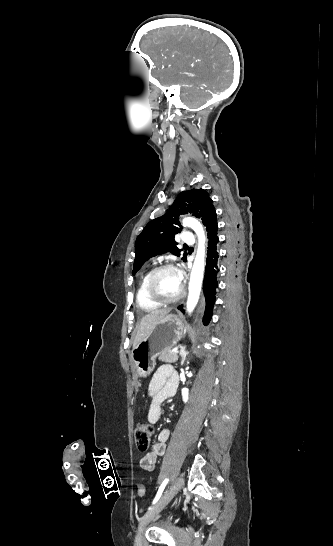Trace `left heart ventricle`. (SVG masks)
I'll return each mask as SVG.
<instances>
[{"mask_svg": "<svg viewBox=\"0 0 333 546\" xmlns=\"http://www.w3.org/2000/svg\"><path fill=\"white\" fill-rule=\"evenodd\" d=\"M154 287L160 296L169 299L180 293L182 283L179 281L176 271L166 270L156 277Z\"/></svg>", "mask_w": 333, "mask_h": 546, "instance_id": "obj_1", "label": "left heart ventricle"}]
</instances>
